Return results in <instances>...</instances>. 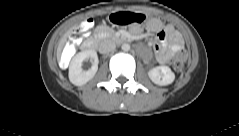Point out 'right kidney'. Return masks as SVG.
Wrapping results in <instances>:
<instances>
[{
    "label": "right kidney",
    "instance_id": "ca27d5eb",
    "mask_svg": "<svg viewBox=\"0 0 239 136\" xmlns=\"http://www.w3.org/2000/svg\"><path fill=\"white\" fill-rule=\"evenodd\" d=\"M90 59L92 67L89 70H83L82 63L84 60ZM98 56L96 51L87 50L77 53L71 60L69 65V80L76 86H82L91 80L98 70Z\"/></svg>",
    "mask_w": 239,
    "mask_h": 136
}]
</instances>
